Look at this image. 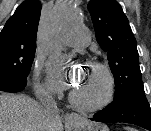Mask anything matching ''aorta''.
<instances>
[{
    "instance_id": "1",
    "label": "aorta",
    "mask_w": 151,
    "mask_h": 131,
    "mask_svg": "<svg viewBox=\"0 0 151 131\" xmlns=\"http://www.w3.org/2000/svg\"><path fill=\"white\" fill-rule=\"evenodd\" d=\"M78 18L79 15L72 7H56L50 17V29L55 33L63 32L71 28Z\"/></svg>"
}]
</instances>
